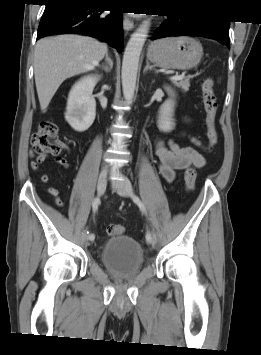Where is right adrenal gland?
<instances>
[{
  "mask_svg": "<svg viewBox=\"0 0 261 355\" xmlns=\"http://www.w3.org/2000/svg\"><path fill=\"white\" fill-rule=\"evenodd\" d=\"M105 62L106 63L103 65V70L106 73H109L113 68V61H112L111 57L109 56L108 51L106 52Z\"/></svg>",
  "mask_w": 261,
  "mask_h": 355,
  "instance_id": "2a0ac1e0",
  "label": "right adrenal gland"
}]
</instances>
